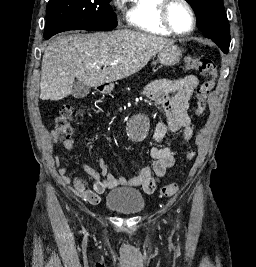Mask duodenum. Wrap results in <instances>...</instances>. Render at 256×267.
<instances>
[{
    "label": "duodenum",
    "instance_id": "obj_1",
    "mask_svg": "<svg viewBox=\"0 0 256 267\" xmlns=\"http://www.w3.org/2000/svg\"><path fill=\"white\" fill-rule=\"evenodd\" d=\"M117 78H108L107 81H99V85H97V94H112L111 86L114 83H117Z\"/></svg>",
    "mask_w": 256,
    "mask_h": 267
}]
</instances>
